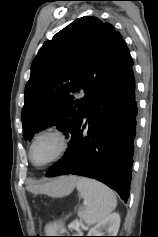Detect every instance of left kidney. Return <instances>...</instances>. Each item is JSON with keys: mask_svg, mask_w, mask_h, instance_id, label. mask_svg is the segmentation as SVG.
I'll return each mask as SVG.
<instances>
[{"mask_svg": "<svg viewBox=\"0 0 158 237\" xmlns=\"http://www.w3.org/2000/svg\"><path fill=\"white\" fill-rule=\"evenodd\" d=\"M119 226L120 215L114 212L91 228L88 236H117Z\"/></svg>", "mask_w": 158, "mask_h": 237, "instance_id": "5707ae66", "label": "left kidney"}]
</instances>
